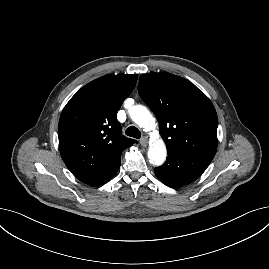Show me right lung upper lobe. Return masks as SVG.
Listing matches in <instances>:
<instances>
[{"label": "right lung upper lobe", "instance_id": "obj_1", "mask_svg": "<svg viewBox=\"0 0 269 269\" xmlns=\"http://www.w3.org/2000/svg\"><path fill=\"white\" fill-rule=\"evenodd\" d=\"M136 81V74L102 76L82 87L64 107L59 150L80 181L91 186L109 181L120 167L122 151L135 142L122 135L116 116Z\"/></svg>", "mask_w": 269, "mask_h": 269}]
</instances>
